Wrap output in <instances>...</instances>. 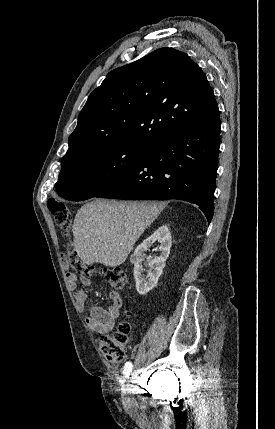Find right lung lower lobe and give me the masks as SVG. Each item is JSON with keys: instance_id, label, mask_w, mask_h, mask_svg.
<instances>
[{"instance_id": "98d812e1", "label": "right lung lower lobe", "mask_w": 275, "mask_h": 429, "mask_svg": "<svg viewBox=\"0 0 275 429\" xmlns=\"http://www.w3.org/2000/svg\"><path fill=\"white\" fill-rule=\"evenodd\" d=\"M219 117L173 131L149 145L144 161L94 197L125 200L179 199L195 203L208 223L220 147Z\"/></svg>"}]
</instances>
